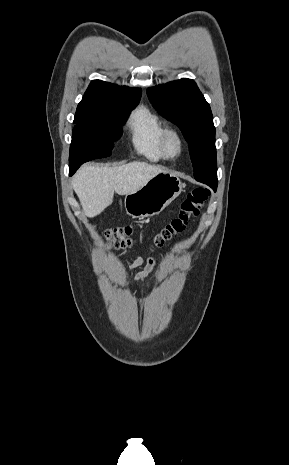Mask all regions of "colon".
<instances>
[{
    "instance_id": "colon-1",
    "label": "colon",
    "mask_w": 289,
    "mask_h": 465,
    "mask_svg": "<svg viewBox=\"0 0 289 465\" xmlns=\"http://www.w3.org/2000/svg\"><path fill=\"white\" fill-rule=\"evenodd\" d=\"M210 194V189L203 187L190 191L182 200L178 215L154 235L153 247L163 246L173 235L184 231L191 219L199 214ZM102 236L109 249H125L134 244L133 230L129 226L107 229Z\"/></svg>"
}]
</instances>
